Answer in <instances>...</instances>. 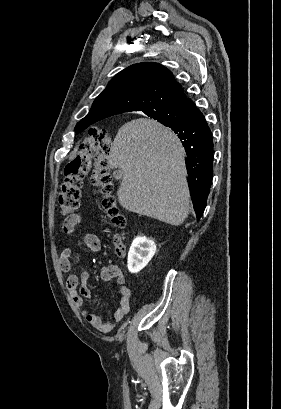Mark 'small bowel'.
I'll use <instances>...</instances> for the list:
<instances>
[{
	"mask_svg": "<svg viewBox=\"0 0 281 409\" xmlns=\"http://www.w3.org/2000/svg\"><path fill=\"white\" fill-rule=\"evenodd\" d=\"M81 223V217L79 214H74L64 222V230L67 233H71L75 230L77 226ZM84 244L92 251L98 252L101 249V244L99 238L92 232H86L83 235ZM72 249L65 248L60 257L59 263L62 271L71 272L72 270ZM100 279L103 281L115 280L117 284L121 285L119 292V303L118 306L109 320H103L100 316L95 313L84 310V316L92 326L102 333L110 332L128 313L130 302H131V289L125 286V275L121 267L109 261V263L103 267L100 271ZM89 280V275L86 271H83L80 278L75 274H70L67 278V288L72 295L75 305L83 309L85 306V300L91 299L93 297L92 291L87 286Z\"/></svg>",
	"mask_w": 281,
	"mask_h": 409,
	"instance_id": "small-bowel-1",
	"label": "small bowel"
}]
</instances>
